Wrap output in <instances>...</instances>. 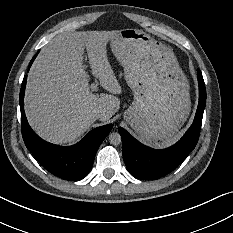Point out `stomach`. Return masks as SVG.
I'll return each instance as SVG.
<instances>
[{"instance_id":"1","label":"stomach","mask_w":233,"mask_h":233,"mask_svg":"<svg viewBox=\"0 0 233 233\" xmlns=\"http://www.w3.org/2000/svg\"><path fill=\"white\" fill-rule=\"evenodd\" d=\"M109 47L134 95L126 123L146 144H167L191 111L189 80L176 56L141 29H119Z\"/></svg>"}]
</instances>
